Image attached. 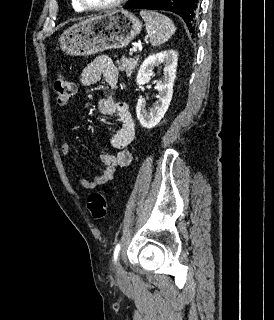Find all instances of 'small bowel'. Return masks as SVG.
Returning <instances> with one entry per match:
<instances>
[{"instance_id": "1", "label": "small bowel", "mask_w": 274, "mask_h": 320, "mask_svg": "<svg viewBox=\"0 0 274 320\" xmlns=\"http://www.w3.org/2000/svg\"><path fill=\"white\" fill-rule=\"evenodd\" d=\"M101 79L113 89L117 87L120 81L119 71L107 55L94 58L85 66L80 75V82L84 86L94 85ZM99 110L103 114L114 116L116 123L119 125L118 131L110 139L111 145L118 152L116 154L103 153L100 156L104 168L92 180H87L84 177L78 178L77 187L83 190H92L104 186L113 179L118 168L129 166L133 158L127 147L133 142L136 131L128 105L118 101L115 96L108 95L99 101ZM68 111V107L61 110V121L66 120ZM60 149L63 155H68L70 151L69 143L63 142Z\"/></svg>"}]
</instances>
